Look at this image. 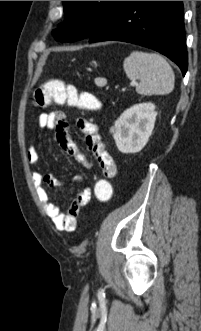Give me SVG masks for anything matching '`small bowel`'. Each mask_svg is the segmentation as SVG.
Masks as SVG:
<instances>
[{"mask_svg":"<svg viewBox=\"0 0 201 331\" xmlns=\"http://www.w3.org/2000/svg\"><path fill=\"white\" fill-rule=\"evenodd\" d=\"M38 125L42 129H55L56 139L60 147L67 154L73 156L83 168H92V162L89 157L80 150L78 145L71 138L69 134V125L63 112L53 111L40 114ZM77 127L84 134L86 147L95 157L101 170L102 177L109 180L112 179L116 175V165L100 137L97 125L85 118H79L77 121ZM27 158L32 166H35L38 163L39 154L33 145L27 147ZM31 177L44 211L52 220L55 227L58 230L65 232L74 231L77 227V217L80 210L91 198L90 188H82L68 210L66 212H61L60 208L50 200V196L46 189V187L61 186V182L53 174L42 175L37 170L32 171ZM75 181L82 182L83 178L76 177Z\"/></svg>","mask_w":201,"mask_h":331,"instance_id":"1","label":"small bowel"}]
</instances>
